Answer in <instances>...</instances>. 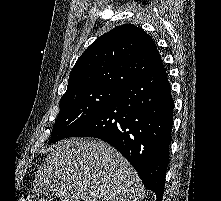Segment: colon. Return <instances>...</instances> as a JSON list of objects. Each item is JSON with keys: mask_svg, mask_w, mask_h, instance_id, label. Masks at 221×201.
<instances>
[{"mask_svg": "<svg viewBox=\"0 0 221 201\" xmlns=\"http://www.w3.org/2000/svg\"><path fill=\"white\" fill-rule=\"evenodd\" d=\"M20 201H36L31 195L25 194Z\"/></svg>", "mask_w": 221, "mask_h": 201, "instance_id": "1", "label": "colon"}]
</instances>
